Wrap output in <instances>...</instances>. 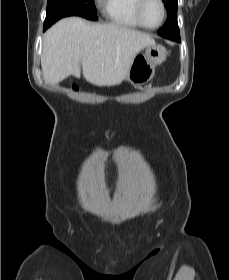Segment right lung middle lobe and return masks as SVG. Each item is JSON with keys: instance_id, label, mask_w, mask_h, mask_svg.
Segmentation results:
<instances>
[{"instance_id": "1", "label": "right lung middle lobe", "mask_w": 229, "mask_h": 280, "mask_svg": "<svg viewBox=\"0 0 229 280\" xmlns=\"http://www.w3.org/2000/svg\"><path fill=\"white\" fill-rule=\"evenodd\" d=\"M77 15L97 20L94 0H47V12L44 25L50 27L60 18Z\"/></svg>"}]
</instances>
